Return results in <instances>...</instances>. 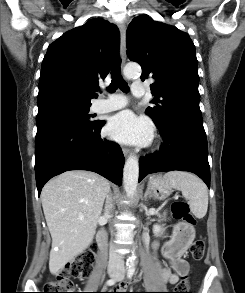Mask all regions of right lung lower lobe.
Instances as JSON below:
<instances>
[{
  "mask_svg": "<svg viewBox=\"0 0 245 293\" xmlns=\"http://www.w3.org/2000/svg\"><path fill=\"white\" fill-rule=\"evenodd\" d=\"M105 121L84 127H65L35 142L38 194L52 177L68 170L96 172L121 185L124 155L119 145L101 138Z\"/></svg>",
  "mask_w": 245,
  "mask_h": 293,
  "instance_id": "1",
  "label": "right lung lower lobe"
}]
</instances>
